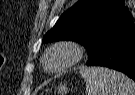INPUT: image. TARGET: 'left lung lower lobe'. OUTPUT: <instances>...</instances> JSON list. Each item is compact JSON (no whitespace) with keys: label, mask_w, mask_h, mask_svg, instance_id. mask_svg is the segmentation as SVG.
Instances as JSON below:
<instances>
[{"label":"left lung lower lobe","mask_w":135,"mask_h":95,"mask_svg":"<svg viewBox=\"0 0 135 95\" xmlns=\"http://www.w3.org/2000/svg\"><path fill=\"white\" fill-rule=\"evenodd\" d=\"M87 66L108 67L135 81V26L132 24L106 36Z\"/></svg>","instance_id":"0a47b994"}]
</instances>
